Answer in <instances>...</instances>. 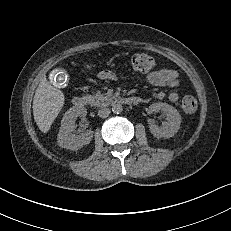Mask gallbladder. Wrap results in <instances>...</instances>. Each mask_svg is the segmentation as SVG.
Returning <instances> with one entry per match:
<instances>
[{
    "mask_svg": "<svg viewBox=\"0 0 231 231\" xmlns=\"http://www.w3.org/2000/svg\"><path fill=\"white\" fill-rule=\"evenodd\" d=\"M50 80L56 88H64L69 83V74L62 68H55L50 73Z\"/></svg>",
    "mask_w": 231,
    "mask_h": 231,
    "instance_id": "1",
    "label": "gallbladder"
}]
</instances>
